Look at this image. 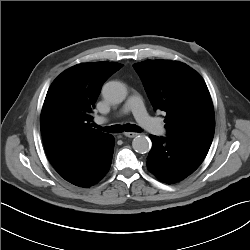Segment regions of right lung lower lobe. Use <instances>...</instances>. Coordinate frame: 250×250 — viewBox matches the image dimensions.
<instances>
[{
	"instance_id": "obj_1",
	"label": "right lung lower lobe",
	"mask_w": 250,
	"mask_h": 250,
	"mask_svg": "<svg viewBox=\"0 0 250 250\" xmlns=\"http://www.w3.org/2000/svg\"><path fill=\"white\" fill-rule=\"evenodd\" d=\"M113 151L114 137L109 134L96 145L56 167L55 170L62 178L76 186L90 187L108 172Z\"/></svg>"
}]
</instances>
